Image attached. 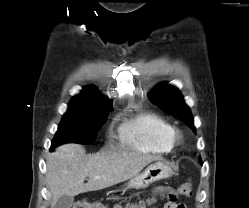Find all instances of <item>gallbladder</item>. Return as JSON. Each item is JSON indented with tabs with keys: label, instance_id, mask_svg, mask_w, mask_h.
Listing matches in <instances>:
<instances>
[{
	"label": "gallbladder",
	"instance_id": "1",
	"mask_svg": "<svg viewBox=\"0 0 249 208\" xmlns=\"http://www.w3.org/2000/svg\"><path fill=\"white\" fill-rule=\"evenodd\" d=\"M73 203L74 198L72 196L63 195L57 200L54 208H71Z\"/></svg>",
	"mask_w": 249,
	"mask_h": 208
}]
</instances>
